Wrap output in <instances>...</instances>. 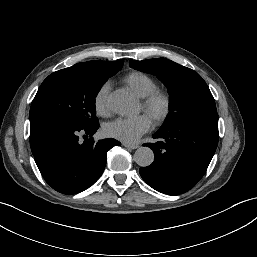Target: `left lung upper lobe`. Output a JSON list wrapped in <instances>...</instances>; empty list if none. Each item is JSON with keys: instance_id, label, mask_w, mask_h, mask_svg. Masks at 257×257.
I'll return each instance as SVG.
<instances>
[{"instance_id": "obj_1", "label": "left lung upper lobe", "mask_w": 257, "mask_h": 257, "mask_svg": "<svg viewBox=\"0 0 257 257\" xmlns=\"http://www.w3.org/2000/svg\"><path fill=\"white\" fill-rule=\"evenodd\" d=\"M129 64L136 70L156 75L171 94V112L161 129L198 114L216 111L208 85L194 70L165 58L130 60Z\"/></svg>"}]
</instances>
